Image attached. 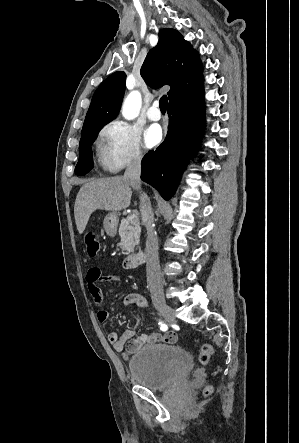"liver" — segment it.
Masks as SVG:
<instances>
[{
    "label": "liver",
    "instance_id": "liver-1",
    "mask_svg": "<svg viewBox=\"0 0 299 443\" xmlns=\"http://www.w3.org/2000/svg\"><path fill=\"white\" fill-rule=\"evenodd\" d=\"M131 197V185L122 176L93 179L83 184L74 206V217L79 234H83L94 211L124 210L129 207ZM134 204L136 205V202Z\"/></svg>",
    "mask_w": 299,
    "mask_h": 443
}]
</instances>
